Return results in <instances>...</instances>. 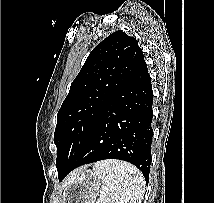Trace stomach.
<instances>
[{"label": "stomach", "instance_id": "0dacf381", "mask_svg": "<svg viewBox=\"0 0 214 203\" xmlns=\"http://www.w3.org/2000/svg\"><path fill=\"white\" fill-rule=\"evenodd\" d=\"M101 190V177L84 169L64 187L61 203H95Z\"/></svg>", "mask_w": 214, "mask_h": 203}]
</instances>
